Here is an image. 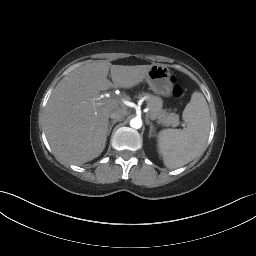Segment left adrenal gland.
Segmentation results:
<instances>
[{
  "label": "left adrenal gland",
  "mask_w": 256,
  "mask_h": 256,
  "mask_svg": "<svg viewBox=\"0 0 256 256\" xmlns=\"http://www.w3.org/2000/svg\"><path fill=\"white\" fill-rule=\"evenodd\" d=\"M146 124L150 126L148 137L151 138L153 136V132H154V125L151 121H149V119L147 117H146Z\"/></svg>",
  "instance_id": "a2214340"
}]
</instances>
